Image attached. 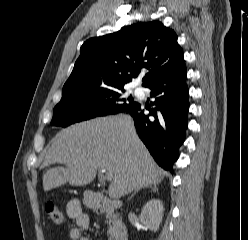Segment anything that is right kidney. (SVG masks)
I'll list each match as a JSON object with an SVG mask.
<instances>
[{
  "label": "right kidney",
  "instance_id": "1",
  "mask_svg": "<svg viewBox=\"0 0 248 240\" xmlns=\"http://www.w3.org/2000/svg\"><path fill=\"white\" fill-rule=\"evenodd\" d=\"M163 212V202L159 199H151L142 208L140 222L155 232L162 222Z\"/></svg>",
  "mask_w": 248,
  "mask_h": 240
}]
</instances>
